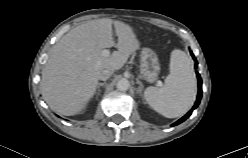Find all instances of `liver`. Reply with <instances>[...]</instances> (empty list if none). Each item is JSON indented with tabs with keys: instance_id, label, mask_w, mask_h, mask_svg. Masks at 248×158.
Instances as JSON below:
<instances>
[{
	"instance_id": "1",
	"label": "liver",
	"mask_w": 248,
	"mask_h": 158,
	"mask_svg": "<svg viewBox=\"0 0 248 158\" xmlns=\"http://www.w3.org/2000/svg\"><path fill=\"white\" fill-rule=\"evenodd\" d=\"M113 46L117 51L102 55ZM139 48L133 29L122 21L103 18L73 28L54 46L43 70L40 86L45 101L62 115L79 113L94 96L101 71L121 69Z\"/></svg>"
}]
</instances>
